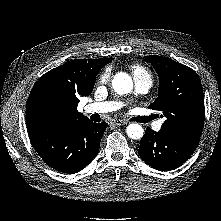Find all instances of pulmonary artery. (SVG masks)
Wrapping results in <instances>:
<instances>
[{
  "label": "pulmonary artery",
  "mask_w": 221,
  "mask_h": 221,
  "mask_svg": "<svg viewBox=\"0 0 221 221\" xmlns=\"http://www.w3.org/2000/svg\"><path fill=\"white\" fill-rule=\"evenodd\" d=\"M135 91L137 94H145L148 92L152 85V80L145 77L134 78ZM123 106L121 102L117 101H104L94 102L85 106L86 113H107L120 109ZM162 121H157L154 124V129L159 131L161 129Z\"/></svg>",
  "instance_id": "pulmonary-artery-1"
}]
</instances>
